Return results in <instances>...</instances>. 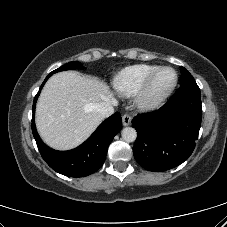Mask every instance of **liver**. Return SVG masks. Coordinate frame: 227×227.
<instances>
[{"instance_id":"6515ba94","label":"liver","mask_w":227,"mask_h":227,"mask_svg":"<svg viewBox=\"0 0 227 227\" xmlns=\"http://www.w3.org/2000/svg\"><path fill=\"white\" fill-rule=\"evenodd\" d=\"M103 101H115L106 83L74 71L57 73L47 81L38 99L37 130L52 148H74L103 120L96 110Z\"/></svg>"}]
</instances>
